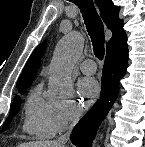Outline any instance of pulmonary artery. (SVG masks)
<instances>
[{"label":"pulmonary artery","instance_id":"1","mask_svg":"<svg viewBox=\"0 0 145 147\" xmlns=\"http://www.w3.org/2000/svg\"><path fill=\"white\" fill-rule=\"evenodd\" d=\"M80 70L86 75H92L96 72L97 67L94 61L87 59L80 63L79 65Z\"/></svg>","mask_w":145,"mask_h":147}]
</instances>
